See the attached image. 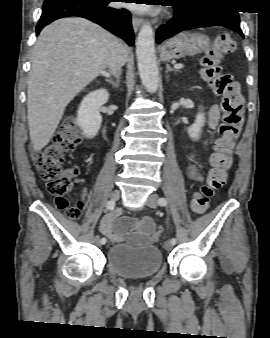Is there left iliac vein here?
Segmentation results:
<instances>
[{
	"instance_id": "1",
	"label": "left iliac vein",
	"mask_w": 270,
	"mask_h": 338,
	"mask_svg": "<svg viewBox=\"0 0 270 338\" xmlns=\"http://www.w3.org/2000/svg\"><path fill=\"white\" fill-rule=\"evenodd\" d=\"M157 201H158V195L157 194H150L146 204L151 207V208H156L157 207ZM173 248V244L171 241H166L165 242V249L166 250H171Z\"/></svg>"
}]
</instances>
